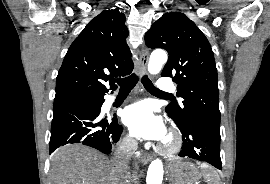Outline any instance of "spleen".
Segmentation results:
<instances>
[{
    "label": "spleen",
    "instance_id": "3e777b00",
    "mask_svg": "<svg viewBox=\"0 0 270 184\" xmlns=\"http://www.w3.org/2000/svg\"><path fill=\"white\" fill-rule=\"evenodd\" d=\"M202 175L207 180L208 184H220V178L218 174L213 171L208 165H200Z\"/></svg>",
    "mask_w": 270,
    "mask_h": 184
}]
</instances>
